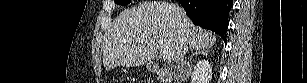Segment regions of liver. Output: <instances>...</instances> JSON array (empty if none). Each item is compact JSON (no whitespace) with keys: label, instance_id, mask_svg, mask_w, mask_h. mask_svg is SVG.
<instances>
[{"label":"liver","instance_id":"6515ba94","mask_svg":"<svg viewBox=\"0 0 307 83\" xmlns=\"http://www.w3.org/2000/svg\"><path fill=\"white\" fill-rule=\"evenodd\" d=\"M215 42L216 35L195 26L178 5L147 2L113 21L103 46V63L107 69L152 63L161 45L178 63L184 50H208Z\"/></svg>","mask_w":307,"mask_h":83}]
</instances>
